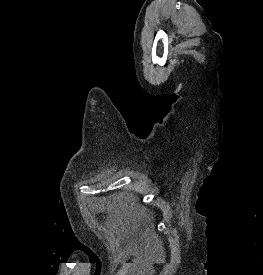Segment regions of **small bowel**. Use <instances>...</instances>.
I'll use <instances>...</instances> for the list:
<instances>
[{"label":"small bowel","instance_id":"small-bowel-1","mask_svg":"<svg viewBox=\"0 0 263 275\" xmlns=\"http://www.w3.org/2000/svg\"><path fill=\"white\" fill-rule=\"evenodd\" d=\"M119 262L121 263V268L116 275H138L144 265V259L134 245L129 246L127 255L122 256Z\"/></svg>","mask_w":263,"mask_h":275}]
</instances>
